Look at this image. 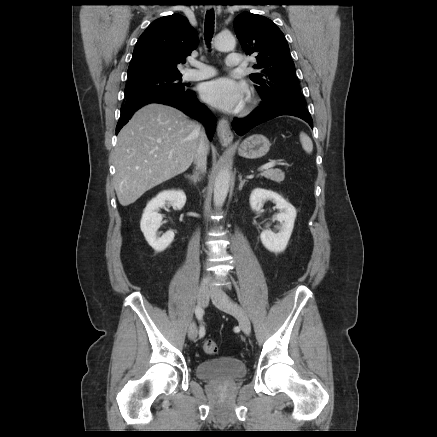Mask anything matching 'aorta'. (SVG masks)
Listing matches in <instances>:
<instances>
[{
    "mask_svg": "<svg viewBox=\"0 0 437 437\" xmlns=\"http://www.w3.org/2000/svg\"><path fill=\"white\" fill-rule=\"evenodd\" d=\"M236 41L230 32H221L214 39V46L218 51H230L235 48ZM230 171L228 168L221 169L214 183L213 203L216 208L223 206L230 185Z\"/></svg>",
    "mask_w": 437,
    "mask_h": 437,
    "instance_id": "aorta-1",
    "label": "aorta"
}]
</instances>
